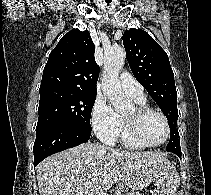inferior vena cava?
I'll return each instance as SVG.
<instances>
[{"mask_svg": "<svg viewBox=\"0 0 211 195\" xmlns=\"http://www.w3.org/2000/svg\"><path fill=\"white\" fill-rule=\"evenodd\" d=\"M100 195H106L105 193H102V194H100Z\"/></svg>", "mask_w": 211, "mask_h": 195, "instance_id": "inferior-vena-cava-1", "label": "inferior vena cava"}]
</instances>
